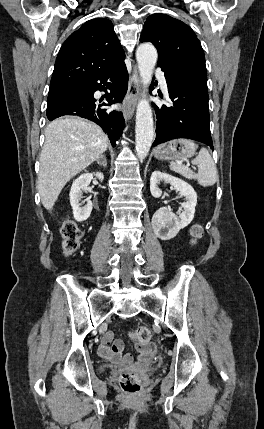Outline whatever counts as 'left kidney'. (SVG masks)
Listing matches in <instances>:
<instances>
[{
    "instance_id": "obj_1",
    "label": "left kidney",
    "mask_w": 264,
    "mask_h": 429,
    "mask_svg": "<svg viewBox=\"0 0 264 429\" xmlns=\"http://www.w3.org/2000/svg\"><path fill=\"white\" fill-rule=\"evenodd\" d=\"M162 180L170 183L186 199V202L182 204L184 210L179 217L166 207L159 208L152 217L151 224L156 236L161 240H170L193 220L197 194L193 187L184 180L165 172L154 171L150 178V192L155 198L162 195V191L158 187Z\"/></svg>"
}]
</instances>
